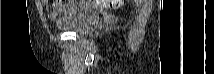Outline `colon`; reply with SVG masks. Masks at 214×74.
<instances>
[{
	"instance_id": "colon-1",
	"label": "colon",
	"mask_w": 214,
	"mask_h": 74,
	"mask_svg": "<svg viewBox=\"0 0 214 74\" xmlns=\"http://www.w3.org/2000/svg\"><path fill=\"white\" fill-rule=\"evenodd\" d=\"M71 2V1H69ZM91 6L99 9H118L124 4L123 0H91L88 1Z\"/></svg>"
}]
</instances>
